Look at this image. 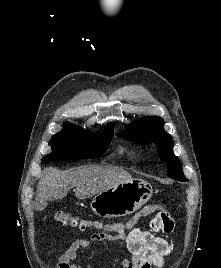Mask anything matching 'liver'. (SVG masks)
I'll return each instance as SVG.
<instances>
[{"mask_svg": "<svg viewBox=\"0 0 221 268\" xmlns=\"http://www.w3.org/2000/svg\"><path fill=\"white\" fill-rule=\"evenodd\" d=\"M131 179L127 171L112 166L91 165L67 171L53 167L45 168L37 186L35 209L44 210L48 201L63 199L73 187L75 196L82 200Z\"/></svg>", "mask_w": 221, "mask_h": 268, "instance_id": "obj_1", "label": "liver"}]
</instances>
